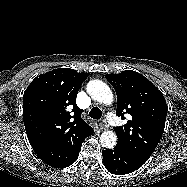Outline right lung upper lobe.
Masks as SVG:
<instances>
[{"label": "right lung upper lobe", "mask_w": 187, "mask_h": 187, "mask_svg": "<svg viewBox=\"0 0 187 187\" xmlns=\"http://www.w3.org/2000/svg\"><path fill=\"white\" fill-rule=\"evenodd\" d=\"M88 75L69 68L54 69L37 76L24 92L23 120L29 142L49 166L68 162L78 145L94 132L76 105Z\"/></svg>", "instance_id": "cb5924a9"}]
</instances>
